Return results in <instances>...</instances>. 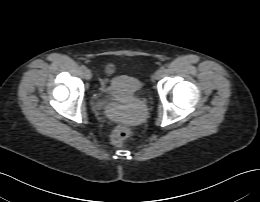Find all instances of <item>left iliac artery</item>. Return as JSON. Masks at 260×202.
I'll return each instance as SVG.
<instances>
[{"label":"left iliac artery","mask_w":260,"mask_h":202,"mask_svg":"<svg viewBox=\"0 0 260 202\" xmlns=\"http://www.w3.org/2000/svg\"><path fill=\"white\" fill-rule=\"evenodd\" d=\"M160 70H161L162 72H164L166 69H165L164 66H162V67L160 68Z\"/></svg>","instance_id":"left-iliac-artery-1"}]
</instances>
